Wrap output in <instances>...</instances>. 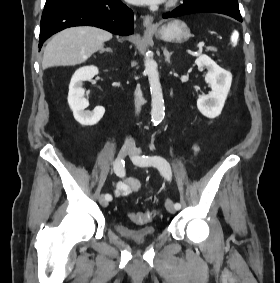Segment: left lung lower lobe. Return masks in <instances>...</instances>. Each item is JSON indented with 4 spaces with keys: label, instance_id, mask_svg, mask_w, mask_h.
Listing matches in <instances>:
<instances>
[{
    "label": "left lung lower lobe",
    "instance_id": "left-lung-lower-lobe-1",
    "mask_svg": "<svg viewBox=\"0 0 280 283\" xmlns=\"http://www.w3.org/2000/svg\"><path fill=\"white\" fill-rule=\"evenodd\" d=\"M198 12H211V13H220L231 16L236 20L242 22L241 15H237L231 12L228 9L223 7L207 4V3H183L181 6L173 10L172 12L165 13L163 18H172L178 17L186 14L198 13Z\"/></svg>",
    "mask_w": 280,
    "mask_h": 283
}]
</instances>
